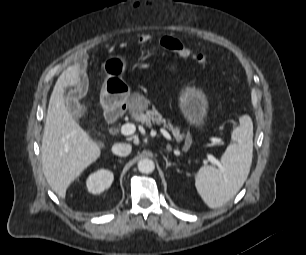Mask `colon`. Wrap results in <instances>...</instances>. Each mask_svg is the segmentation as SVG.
I'll list each match as a JSON object with an SVG mask.
<instances>
[{
	"label": "colon",
	"mask_w": 306,
	"mask_h": 255,
	"mask_svg": "<svg viewBox=\"0 0 306 255\" xmlns=\"http://www.w3.org/2000/svg\"><path fill=\"white\" fill-rule=\"evenodd\" d=\"M149 40H150L149 35H143L139 38L138 43L144 44ZM160 43L166 49L174 51L181 56L191 58L199 64H205L207 62V56L204 53L192 51L185 44H183L181 41L175 38L164 36L160 39Z\"/></svg>",
	"instance_id": "1"
}]
</instances>
